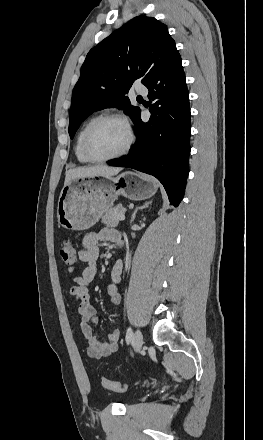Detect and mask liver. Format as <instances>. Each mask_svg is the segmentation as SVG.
<instances>
[{
    "label": "liver",
    "instance_id": "liver-1",
    "mask_svg": "<svg viewBox=\"0 0 263 440\" xmlns=\"http://www.w3.org/2000/svg\"><path fill=\"white\" fill-rule=\"evenodd\" d=\"M121 171L119 167H109L107 165H95L90 167H78L70 169L66 172L64 185L68 184L75 178H86L93 176L112 177L117 175Z\"/></svg>",
    "mask_w": 263,
    "mask_h": 440
}]
</instances>
